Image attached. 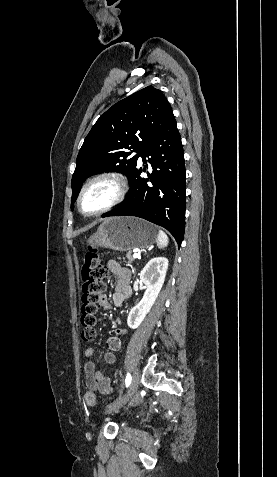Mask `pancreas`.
<instances>
[{"label":"pancreas","mask_w":277,"mask_h":477,"mask_svg":"<svg viewBox=\"0 0 277 477\" xmlns=\"http://www.w3.org/2000/svg\"><path fill=\"white\" fill-rule=\"evenodd\" d=\"M126 258H127V260H128V261H127V264L132 263V262L134 261V259H135V258L131 255L130 252L126 255ZM118 259H120V258H118ZM124 260H125V259H124Z\"/></svg>","instance_id":"cf45deb5"}]
</instances>
